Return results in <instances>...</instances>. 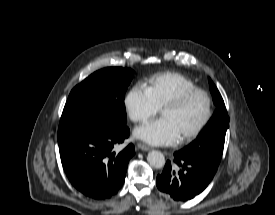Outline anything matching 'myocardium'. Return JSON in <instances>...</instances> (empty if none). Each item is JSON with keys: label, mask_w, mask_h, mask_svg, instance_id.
Segmentation results:
<instances>
[{"label": "myocardium", "mask_w": 275, "mask_h": 215, "mask_svg": "<svg viewBox=\"0 0 275 215\" xmlns=\"http://www.w3.org/2000/svg\"><path fill=\"white\" fill-rule=\"evenodd\" d=\"M194 94H202L207 102V109H206V114L202 121L189 133L181 137L180 141L181 142H187L195 137H197L209 124L212 115H213V100L211 95L209 94L208 91H206L203 88L200 87H193L190 89H186L179 94H177L175 97L171 98L168 100L162 107L161 111L164 110L165 108H177L181 106L187 99H189L191 96Z\"/></svg>", "instance_id": "f54148a6"}]
</instances>
